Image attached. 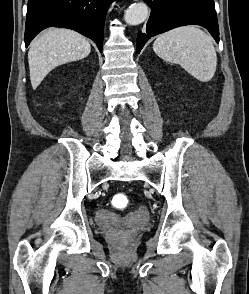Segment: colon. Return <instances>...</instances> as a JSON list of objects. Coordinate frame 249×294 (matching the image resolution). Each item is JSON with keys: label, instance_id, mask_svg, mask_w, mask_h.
I'll use <instances>...</instances> for the list:
<instances>
[{"label": "colon", "instance_id": "colon-1", "mask_svg": "<svg viewBox=\"0 0 249 294\" xmlns=\"http://www.w3.org/2000/svg\"><path fill=\"white\" fill-rule=\"evenodd\" d=\"M113 202L117 206L126 207L129 204V198L127 195L124 194H117L113 198Z\"/></svg>", "mask_w": 249, "mask_h": 294}]
</instances>
